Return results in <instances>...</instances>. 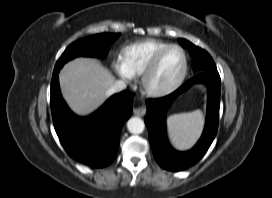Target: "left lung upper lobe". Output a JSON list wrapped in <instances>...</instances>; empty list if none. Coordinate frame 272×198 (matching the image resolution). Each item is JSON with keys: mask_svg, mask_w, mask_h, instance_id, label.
Segmentation results:
<instances>
[{"mask_svg": "<svg viewBox=\"0 0 272 198\" xmlns=\"http://www.w3.org/2000/svg\"><path fill=\"white\" fill-rule=\"evenodd\" d=\"M178 42L184 48L189 50L190 55L193 58L194 70L208 71V70L216 69V65L208 52L193 45L192 43H190L189 41L185 39H178Z\"/></svg>", "mask_w": 272, "mask_h": 198, "instance_id": "1", "label": "left lung upper lobe"}]
</instances>
